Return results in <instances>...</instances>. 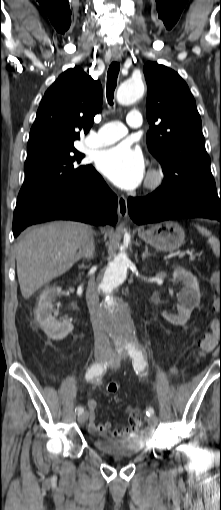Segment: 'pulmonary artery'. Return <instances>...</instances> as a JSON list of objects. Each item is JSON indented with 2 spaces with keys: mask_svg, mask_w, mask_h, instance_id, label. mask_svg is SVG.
Segmentation results:
<instances>
[{
  "mask_svg": "<svg viewBox=\"0 0 221 510\" xmlns=\"http://www.w3.org/2000/svg\"><path fill=\"white\" fill-rule=\"evenodd\" d=\"M127 124L131 128H138L142 125V118L139 112L129 113ZM128 132L127 127L120 122L111 121L102 125L97 131L91 132L87 143L91 147H104L122 139Z\"/></svg>",
  "mask_w": 221,
  "mask_h": 510,
  "instance_id": "1",
  "label": "pulmonary artery"
}]
</instances>
